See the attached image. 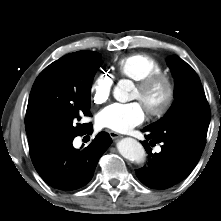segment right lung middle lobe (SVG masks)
I'll use <instances>...</instances> for the list:
<instances>
[{
    "instance_id": "dd1d6c3e",
    "label": "right lung middle lobe",
    "mask_w": 221,
    "mask_h": 221,
    "mask_svg": "<svg viewBox=\"0 0 221 221\" xmlns=\"http://www.w3.org/2000/svg\"><path fill=\"white\" fill-rule=\"evenodd\" d=\"M101 54L86 51L78 58L57 60L37 77L29 97L25 124L30 147L66 142L81 135L90 116L92 80Z\"/></svg>"
}]
</instances>
